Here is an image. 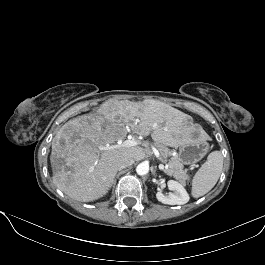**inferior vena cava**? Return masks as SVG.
Returning a JSON list of instances; mask_svg holds the SVG:
<instances>
[{
  "instance_id": "1",
  "label": "inferior vena cava",
  "mask_w": 265,
  "mask_h": 265,
  "mask_svg": "<svg viewBox=\"0 0 265 265\" xmlns=\"http://www.w3.org/2000/svg\"><path fill=\"white\" fill-rule=\"evenodd\" d=\"M133 163H134V160L132 158H126L118 162L116 167H117V170H121V169L131 166Z\"/></svg>"
}]
</instances>
